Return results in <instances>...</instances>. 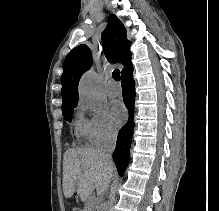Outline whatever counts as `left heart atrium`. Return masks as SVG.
I'll return each instance as SVG.
<instances>
[{
    "label": "left heart atrium",
    "mask_w": 219,
    "mask_h": 211,
    "mask_svg": "<svg viewBox=\"0 0 219 211\" xmlns=\"http://www.w3.org/2000/svg\"><path fill=\"white\" fill-rule=\"evenodd\" d=\"M110 111L111 117L117 125L122 124L127 118V111L125 107L122 103L118 101H114L111 103Z\"/></svg>",
    "instance_id": "1"
}]
</instances>
